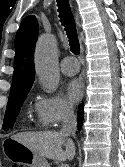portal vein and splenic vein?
I'll list each match as a JSON object with an SVG mask.
<instances>
[{
  "mask_svg": "<svg viewBox=\"0 0 125 167\" xmlns=\"http://www.w3.org/2000/svg\"><path fill=\"white\" fill-rule=\"evenodd\" d=\"M60 167H68L67 165H61Z\"/></svg>",
  "mask_w": 125,
  "mask_h": 167,
  "instance_id": "portal-vein-and-splenic-vein-1",
  "label": "portal vein and splenic vein"
}]
</instances>
